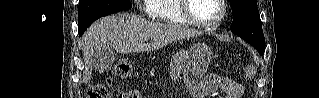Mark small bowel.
<instances>
[{"instance_id":"small-bowel-1","label":"small bowel","mask_w":319,"mask_h":98,"mask_svg":"<svg viewBox=\"0 0 319 98\" xmlns=\"http://www.w3.org/2000/svg\"><path fill=\"white\" fill-rule=\"evenodd\" d=\"M172 75L175 81L179 80L177 68L172 69ZM207 84L210 93L220 89L226 93V98H240L243 93V86L240 83L220 76L208 77Z\"/></svg>"}]
</instances>
